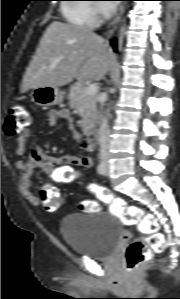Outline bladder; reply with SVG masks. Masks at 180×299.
<instances>
[{"instance_id":"bladder-1","label":"bladder","mask_w":180,"mask_h":299,"mask_svg":"<svg viewBox=\"0 0 180 299\" xmlns=\"http://www.w3.org/2000/svg\"><path fill=\"white\" fill-rule=\"evenodd\" d=\"M60 232L75 254L97 260L111 257L123 234L119 221L109 211L69 214L60 223Z\"/></svg>"}]
</instances>
